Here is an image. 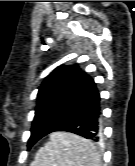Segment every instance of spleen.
Listing matches in <instances>:
<instances>
[{
	"instance_id": "3e777b00",
	"label": "spleen",
	"mask_w": 135,
	"mask_h": 166,
	"mask_svg": "<svg viewBox=\"0 0 135 166\" xmlns=\"http://www.w3.org/2000/svg\"><path fill=\"white\" fill-rule=\"evenodd\" d=\"M31 166H102L97 147L72 133L54 132Z\"/></svg>"
}]
</instances>
